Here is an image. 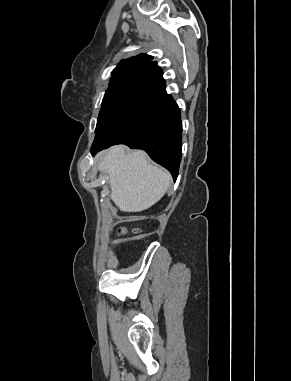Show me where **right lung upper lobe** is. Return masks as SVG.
I'll list each match as a JSON object with an SVG mask.
<instances>
[{
	"label": "right lung upper lobe",
	"mask_w": 291,
	"mask_h": 381,
	"mask_svg": "<svg viewBox=\"0 0 291 381\" xmlns=\"http://www.w3.org/2000/svg\"><path fill=\"white\" fill-rule=\"evenodd\" d=\"M152 56L139 54L131 58L122 60L112 72L109 88L118 85L128 79L153 74L159 70L156 62H152Z\"/></svg>",
	"instance_id": "cb5924a9"
}]
</instances>
